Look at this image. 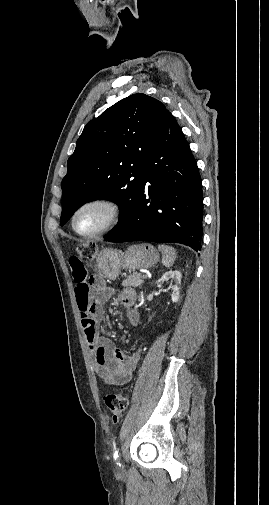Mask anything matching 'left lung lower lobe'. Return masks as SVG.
Instances as JSON below:
<instances>
[{
  "instance_id": "obj_1",
  "label": "left lung lower lobe",
  "mask_w": 269,
  "mask_h": 505,
  "mask_svg": "<svg viewBox=\"0 0 269 505\" xmlns=\"http://www.w3.org/2000/svg\"><path fill=\"white\" fill-rule=\"evenodd\" d=\"M202 221L203 193L197 163L168 111L149 143L132 215L104 239L181 243L199 251Z\"/></svg>"
}]
</instances>
